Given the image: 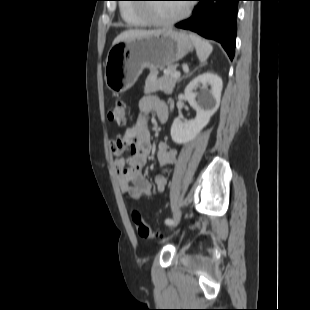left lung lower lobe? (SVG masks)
<instances>
[{"instance_id": "left-lung-lower-lobe-1", "label": "left lung lower lobe", "mask_w": 310, "mask_h": 310, "mask_svg": "<svg viewBox=\"0 0 310 310\" xmlns=\"http://www.w3.org/2000/svg\"><path fill=\"white\" fill-rule=\"evenodd\" d=\"M196 1L199 3L193 15L175 26L219 42L232 60L235 54L238 1L241 0Z\"/></svg>"}]
</instances>
